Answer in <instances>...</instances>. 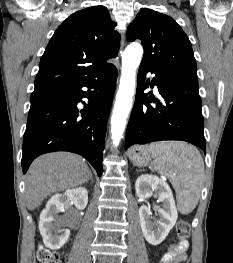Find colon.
<instances>
[{
  "label": "colon",
  "mask_w": 233,
  "mask_h": 263,
  "mask_svg": "<svg viewBox=\"0 0 233 263\" xmlns=\"http://www.w3.org/2000/svg\"><path fill=\"white\" fill-rule=\"evenodd\" d=\"M190 235V224L187 220L182 219L177 223L176 236L179 240H186ZM37 259L39 263H63L58 252L53 251L45 246H39L37 250Z\"/></svg>",
  "instance_id": "obj_1"
}]
</instances>
